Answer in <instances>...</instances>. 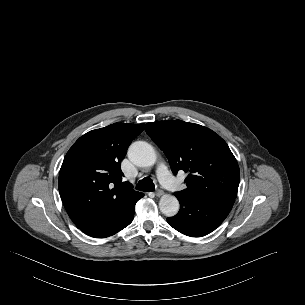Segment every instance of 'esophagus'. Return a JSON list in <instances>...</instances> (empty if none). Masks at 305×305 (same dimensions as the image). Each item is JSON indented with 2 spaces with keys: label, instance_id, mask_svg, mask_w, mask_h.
Instances as JSON below:
<instances>
[{
  "label": "esophagus",
  "instance_id": "obj_1",
  "mask_svg": "<svg viewBox=\"0 0 305 305\" xmlns=\"http://www.w3.org/2000/svg\"><path fill=\"white\" fill-rule=\"evenodd\" d=\"M164 194V192L162 191V190H157V191H155V195L157 196V197H160V196H162Z\"/></svg>",
  "mask_w": 305,
  "mask_h": 305
}]
</instances>
